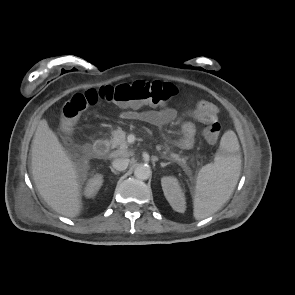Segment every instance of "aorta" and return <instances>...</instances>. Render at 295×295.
I'll return each mask as SVG.
<instances>
[{
	"label": "aorta",
	"instance_id": "762f6f07",
	"mask_svg": "<svg viewBox=\"0 0 295 295\" xmlns=\"http://www.w3.org/2000/svg\"><path fill=\"white\" fill-rule=\"evenodd\" d=\"M151 175V170L149 166L139 165L134 170V176L140 180H147Z\"/></svg>",
	"mask_w": 295,
	"mask_h": 295
}]
</instances>
